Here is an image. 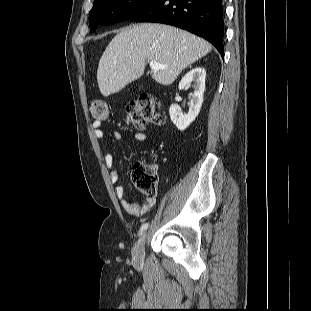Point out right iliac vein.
<instances>
[{
  "label": "right iliac vein",
  "instance_id": "right-iliac-vein-1",
  "mask_svg": "<svg viewBox=\"0 0 311 311\" xmlns=\"http://www.w3.org/2000/svg\"><path fill=\"white\" fill-rule=\"evenodd\" d=\"M147 234L144 233L136 242L133 248V261L135 264L140 265L144 259V247Z\"/></svg>",
  "mask_w": 311,
  "mask_h": 311
}]
</instances>
